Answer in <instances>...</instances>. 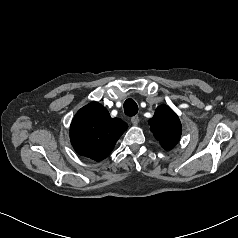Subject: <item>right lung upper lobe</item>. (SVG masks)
Masks as SVG:
<instances>
[{
    "label": "right lung upper lobe",
    "mask_w": 238,
    "mask_h": 238,
    "mask_svg": "<svg viewBox=\"0 0 238 238\" xmlns=\"http://www.w3.org/2000/svg\"><path fill=\"white\" fill-rule=\"evenodd\" d=\"M127 128L121 119L111 118L101 104L91 102L81 108L72 120L71 143L78 154L101 161L110 154Z\"/></svg>",
    "instance_id": "1"
}]
</instances>
